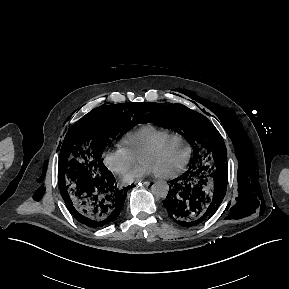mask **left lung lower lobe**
Segmentation results:
<instances>
[{
	"label": "left lung lower lobe",
	"mask_w": 289,
	"mask_h": 289,
	"mask_svg": "<svg viewBox=\"0 0 289 289\" xmlns=\"http://www.w3.org/2000/svg\"><path fill=\"white\" fill-rule=\"evenodd\" d=\"M189 168L171 181L164 206L169 217L182 226H193L210 218L221 204L227 189V163L213 169Z\"/></svg>",
	"instance_id": "obj_1"
}]
</instances>
